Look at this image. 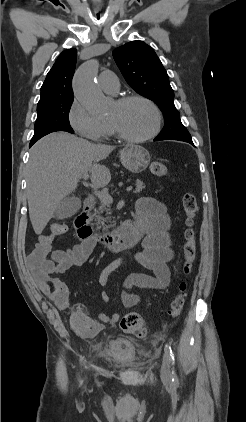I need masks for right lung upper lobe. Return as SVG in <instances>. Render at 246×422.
<instances>
[{
  "label": "right lung upper lobe",
  "instance_id": "obj_1",
  "mask_svg": "<svg viewBox=\"0 0 246 422\" xmlns=\"http://www.w3.org/2000/svg\"><path fill=\"white\" fill-rule=\"evenodd\" d=\"M77 51L67 49L63 51L41 87V97L37 108L51 104L53 102L73 98L72 77L75 71Z\"/></svg>",
  "mask_w": 246,
  "mask_h": 422
}]
</instances>
